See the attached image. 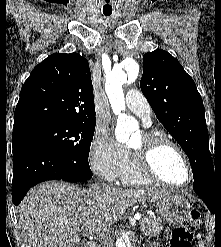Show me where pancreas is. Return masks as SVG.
<instances>
[{
    "mask_svg": "<svg viewBox=\"0 0 221 247\" xmlns=\"http://www.w3.org/2000/svg\"><path fill=\"white\" fill-rule=\"evenodd\" d=\"M162 221L160 218L148 216L142 220L140 230L144 236L156 237L160 234L162 230Z\"/></svg>",
    "mask_w": 221,
    "mask_h": 247,
    "instance_id": "cf45deb5",
    "label": "pancreas"
}]
</instances>
